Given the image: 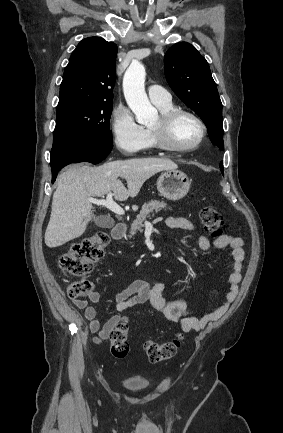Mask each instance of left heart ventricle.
I'll return each mask as SVG.
<instances>
[{
    "mask_svg": "<svg viewBox=\"0 0 283 433\" xmlns=\"http://www.w3.org/2000/svg\"><path fill=\"white\" fill-rule=\"evenodd\" d=\"M156 123H154L152 127L155 126ZM199 135L200 127L193 118L183 115L177 119L173 130V139L180 147L192 144Z\"/></svg>",
    "mask_w": 283,
    "mask_h": 433,
    "instance_id": "b2bd125f",
    "label": "left heart ventricle"
}]
</instances>
